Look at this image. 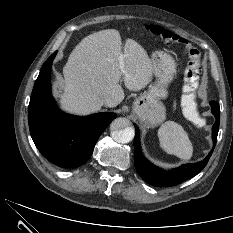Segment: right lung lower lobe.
<instances>
[{"label": "right lung lower lobe", "mask_w": 233, "mask_h": 233, "mask_svg": "<svg viewBox=\"0 0 233 233\" xmlns=\"http://www.w3.org/2000/svg\"><path fill=\"white\" fill-rule=\"evenodd\" d=\"M56 52L41 68L28 106L31 137L50 162L63 168L83 165L115 113H97L86 117L61 112L51 95L50 72Z\"/></svg>", "instance_id": "right-lung-lower-lobe-1"}]
</instances>
